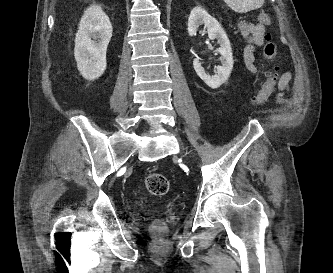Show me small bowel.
Here are the masks:
<instances>
[{"label":"small bowel","mask_w":333,"mask_h":273,"mask_svg":"<svg viewBox=\"0 0 333 273\" xmlns=\"http://www.w3.org/2000/svg\"><path fill=\"white\" fill-rule=\"evenodd\" d=\"M242 35L245 37L247 44L243 53V60L248 68V70L252 73H257L258 68L255 64V50L257 47L262 46L264 42V33L265 26L262 23L248 24L241 22L239 24ZM291 81V73L285 72L279 79L278 82V90L279 97L282 98L283 93L288 89Z\"/></svg>","instance_id":"small-bowel-1"}]
</instances>
